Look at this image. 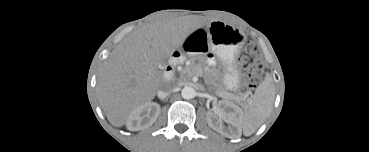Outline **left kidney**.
Here are the masks:
<instances>
[{"label":"left kidney","instance_id":"1","mask_svg":"<svg viewBox=\"0 0 369 152\" xmlns=\"http://www.w3.org/2000/svg\"><path fill=\"white\" fill-rule=\"evenodd\" d=\"M217 115H220L222 118H224L232 127H234L238 131L242 118V112L238 106L227 101H219L218 108L215 112H207L206 117L209 127L222 133L223 126L221 122L216 120Z\"/></svg>","mask_w":369,"mask_h":152}]
</instances>
